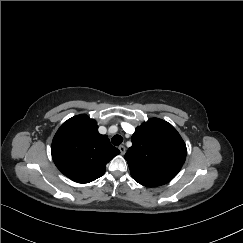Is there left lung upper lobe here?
Instances as JSON below:
<instances>
[{
    "mask_svg": "<svg viewBox=\"0 0 243 243\" xmlns=\"http://www.w3.org/2000/svg\"><path fill=\"white\" fill-rule=\"evenodd\" d=\"M125 154L132 178L147 187L171 181L185 162L186 145L168 122L152 118L135 129Z\"/></svg>",
    "mask_w": 243,
    "mask_h": 243,
    "instance_id": "obj_1",
    "label": "left lung upper lobe"
}]
</instances>
